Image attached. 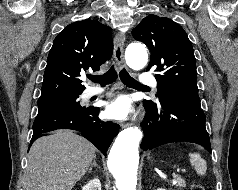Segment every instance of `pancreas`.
I'll return each instance as SVG.
<instances>
[{
  "label": "pancreas",
  "mask_w": 238,
  "mask_h": 190,
  "mask_svg": "<svg viewBox=\"0 0 238 190\" xmlns=\"http://www.w3.org/2000/svg\"><path fill=\"white\" fill-rule=\"evenodd\" d=\"M173 182L176 186H179V187L184 186V181L180 177L175 178Z\"/></svg>",
  "instance_id": "obj_1"
}]
</instances>
